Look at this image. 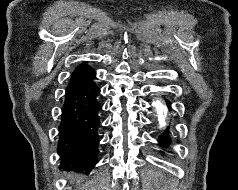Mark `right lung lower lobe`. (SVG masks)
<instances>
[{"label":"right lung lower lobe","instance_id":"right-lung-lower-lobe-1","mask_svg":"<svg viewBox=\"0 0 238 190\" xmlns=\"http://www.w3.org/2000/svg\"><path fill=\"white\" fill-rule=\"evenodd\" d=\"M95 75V71L84 63L74 70L66 89L58 143L60 167L66 170L90 171L98 162L101 105Z\"/></svg>","mask_w":238,"mask_h":190}]
</instances>
